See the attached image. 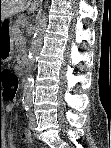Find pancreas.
Segmentation results:
<instances>
[{"mask_svg":"<svg viewBox=\"0 0 111 148\" xmlns=\"http://www.w3.org/2000/svg\"><path fill=\"white\" fill-rule=\"evenodd\" d=\"M16 27H18V26H16ZM12 33L15 35V38H16V40H15L16 46H17L20 50H22V48H23V46H24V44H23L24 39H23V37H22L21 32L18 31L17 28H14V29H12Z\"/></svg>","mask_w":111,"mask_h":148,"instance_id":"pancreas-1","label":"pancreas"}]
</instances>
